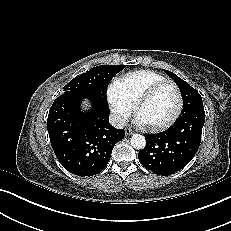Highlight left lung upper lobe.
Instances as JSON below:
<instances>
[{
  "label": "left lung upper lobe",
  "mask_w": 231,
  "mask_h": 231,
  "mask_svg": "<svg viewBox=\"0 0 231 231\" xmlns=\"http://www.w3.org/2000/svg\"><path fill=\"white\" fill-rule=\"evenodd\" d=\"M164 71L178 85L180 91L182 92V97H183V109L181 112V116L175 121L173 126H171L168 130L165 131L167 135H173L176 133V131L180 130L179 124L183 116H185L187 113L193 110L204 109V108H203L202 97L200 96L197 90H195L187 82H185L177 75H175L173 72H170L168 70H164Z\"/></svg>",
  "instance_id": "5c2ea615"
}]
</instances>
